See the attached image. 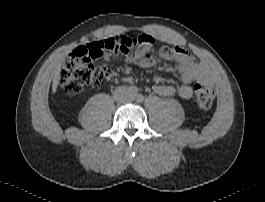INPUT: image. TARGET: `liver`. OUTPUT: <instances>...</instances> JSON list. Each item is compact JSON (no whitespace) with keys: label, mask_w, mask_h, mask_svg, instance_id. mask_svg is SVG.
<instances>
[{"label":"liver","mask_w":265,"mask_h":202,"mask_svg":"<svg viewBox=\"0 0 265 202\" xmlns=\"http://www.w3.org/2000/svg\"><path fill=\"white\" fill-rule=\"evenodd\" d=\"M61 64L57 65L53 72L52 92H56L60 79Z\"/></svg>","instance_id":"obj_1"}]
</instances>
